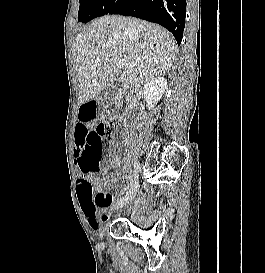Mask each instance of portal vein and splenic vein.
Here are the masks:
<instances>
[{
  "mask_svg": "<svg viewBox=\"0 0 265 273\" xmlns=\"http://www.w3.org/2000/svg\"><path fill=\"white\" fill-rule=\"evenodd\" d=\"M113 62L116 64L117 67H119L120 69H125L128 67V63L122 59V58H118V57H114L113 58Z\"/></svg>",
  "mask_w": 265,
  "mask_h": 273,
  "instance_id": "1",
  "label": "portal vein and splenic vein"
}]
</instances>
